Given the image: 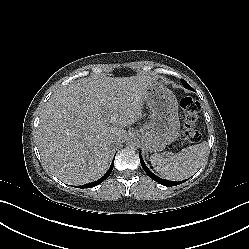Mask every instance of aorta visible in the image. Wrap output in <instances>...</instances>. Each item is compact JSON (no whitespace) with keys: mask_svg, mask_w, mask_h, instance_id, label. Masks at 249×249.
Returning <instances> with one entry per match:
<instances>
[{"mask_svg":"<svg viewBox=\"0 0 249 249\" xmlns=\"http://www.w3.org/2000/svg\"><path fill=\"white\" fill-rule=\"evenodd\" d=\"M126 146L128 148H138L140 146V140L135 136H130L126 139Z\"/></svg>","mask_w":249,"mask_h":249,"instance_id":"aorta-1","label":"aorta"}]
</instances>
